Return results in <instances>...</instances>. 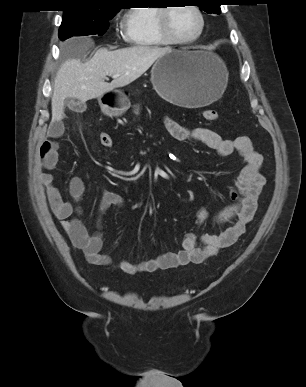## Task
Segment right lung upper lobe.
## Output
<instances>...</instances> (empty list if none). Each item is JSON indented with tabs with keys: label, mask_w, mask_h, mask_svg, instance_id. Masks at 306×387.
<instances>
[{
	"label": "right lung upper lobe",
	"mask_w": 306,
	"mask_h": 387,
	"mask_svg": "<svg viewBox=\"0 0 306 387\" xmlns=\"http://www.w3.org/2000/svg\"><path fill=\"white\" fill-rule=\"evenodd\" d=\"M64 14H95L106 11H119L117 0H67Z\"/></svg>",
	"instance_id": "obj_1"
}]
</instances>
